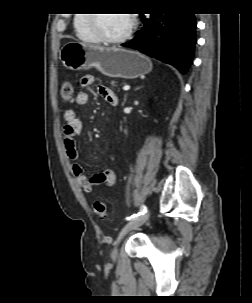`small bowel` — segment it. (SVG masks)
<instances>
[{
    "label": "small bowel",
    "instance_id": "small-bowel-1",
    "mask_svg": "<svg viewBox=\"0 0 252 303\" xmlns=\"http://www.w3.org/2000/svg\"><path fill=\"white\" fill-rule=\"evenodd\" d=\"M95 82V77L91 74L82 76L80 83L82 87H88ZM99 95L110 105L117 104V97L114 92L103 84L97 85ZM88 94L86 92H79L75 97V104L78 106L86 105L88 102ZM64 148L68 155L73 160L78 157L77 136L81 135L84 130V125L81 119L77 116L74 109H66L64 113ZM72 172L77 180V183L83 188L85 192H92L96 185H105L112 187L116 183V174L112 169H107L100 172L93 177H88L82 167L78 163L72 165Z\"/></svg>",
    "mask_w": 252,
    "mask_h": 303
}]
</instances>
